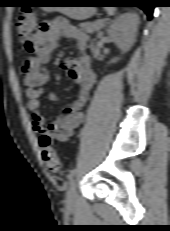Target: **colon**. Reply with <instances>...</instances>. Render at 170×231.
<instances>
[{
  "label": "colon",
  "mask_w": 170,
  "mask_h": 231,
  "mask_svg": "<svg viewBox=\"0 0 170 231\" xmlns=\"http://www.w3.org/2000/svg\"><path fill=\"white\" fill-rule=\"evenodd\" d=\"M35 28L36 17L34 12L29 8H22L18 13L16 22V30L20 36V49L22 52L33 53L36 51L38 38L34 34ZM39 147L48 170L53 174H60L62 172V164L48 134H41Z\"/></svg>",
  "instance_id": "colon-1"
}]
</instances>
